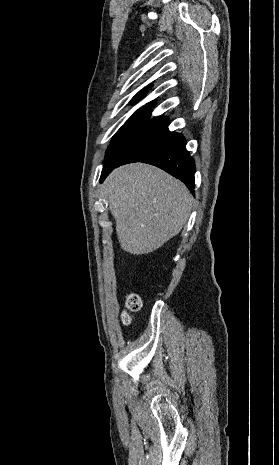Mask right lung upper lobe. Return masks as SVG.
Instances as JSON below:
<instances>
[{
	"mask_svg": "<svg viewBox=\"0 0 279 465\" xmlns=\"http://www.w3.org/2000/svg\"><path fill=\"white\" fill-rule=\"evenodd\" d=\"M143 90L137 93L132 101L137 102L141 97H144ZM152 105L151 103H147L145 106L138 109L127 121L126 124H155V125H162L168 126V119L164 117H155L152 120H147L150 118Z\"/></svg>",
	"mask_w": 279,
	"mask_h": 465,
	"instance_id": "1",
	"label": "right lung upper lobe"
}]
</instances>
